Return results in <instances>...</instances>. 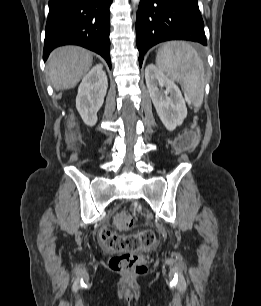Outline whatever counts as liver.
Wrapping results in <instances>:
<instances>
[{
    "mask_svg": "<svg viewBox=\"0 0 261 306\" xmlns=\"http://www.w3.org/2000/svg\"><path fill=\"white\" fill-rule=\"evenodd\" d=\"M93 62L91 52L76 46L56 49L47 62L50 81L56 90L75 87L90 70Z\"/></svg>",
    "mask_w": 261,
    "mask_h": 306,
    "instance_id": "1",
    "label": "liver"
}]
</instances>
